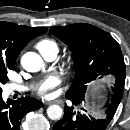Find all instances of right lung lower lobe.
<instances>
[{
	"label": "right lung lower lobe",
	"instance_id": "1",
	"mask_svg": "<svg viewBox=\"0 0 130 130\" xmlns=\"http://www.w3.org/2000/svg\"><path fill=\"white\" fill-rule=\"evenodd\" d=\"M42 102L29 96L16 101H3L0 92V130H20L21 119L30 111L41 108Z\"/></svg>",
	"mask_w": 130,
	"mask_h": 130
}]
</instances>
